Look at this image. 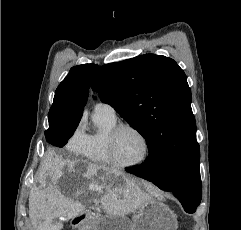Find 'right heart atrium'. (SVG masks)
<instances>
[{
  "mask_svg": "<svg viewBox=\"0 0 241 230\" xmlns=\"http://www.w3.org/2000/svg\"><path fill=\"white\" fill-rule=\"evenodd\" d=\"M86 142V134L84 133L81 126L77 127L69 140L67 141L66 147L75 153L82 151Z\"/></svg>",
  "mask_w": 241,
  "mask_h": 230,
  "instance_id": "d8ad5b80",
  "label": "right heart atrium"
}]
</instances>
